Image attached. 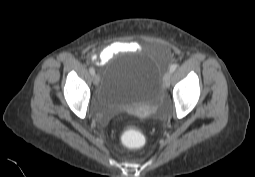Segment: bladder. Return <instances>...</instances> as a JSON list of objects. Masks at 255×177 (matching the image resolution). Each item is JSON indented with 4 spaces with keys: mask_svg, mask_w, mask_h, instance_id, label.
<instances>
[{
    "mask_svg": "<svg viewBox=\"0 0 255 177\" xmlns=\"http://www.w3.org/2000/svg\"><path fill=\"white\" fill-rule=\"evenodd\" d=\"M162 71L156 58L132 54L110 67L98 97L110 108L143 109L161 101Z\"/></svg>",
    "mask_w": 255,
    "mask_h": 177,
    "instance_id": "1",
    "label": "bladder"
}]
</instances>
